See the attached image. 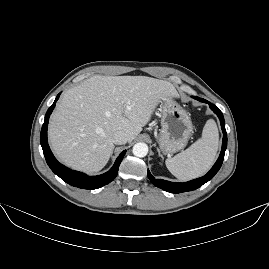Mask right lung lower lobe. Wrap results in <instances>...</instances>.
<instances>
[{"instance_id":"right-lung-lower-lobe-1","label":"right lung lower lobe","mask_w":269,"mask_h":269,"mask_svg":"<svg viewBox=\"0 0 269 269\" xmlns=\"http://www.w3.org/2000/svg\"><path fill=\"white\" fill-rule=\"evenodd\" d=\"M59 96L60 94L57 95L55 102L58 100ZM55 102L46 112L45 120L41 129V135H40L41 146H42L43 153H44L48 166L56 175H58L66 183L72 186L78 187V188H82V189H89V190L97 189L113 181L114 178L118 174V168L126 153V150L121 152L119 157L116 159L115 164L108 172L102 175H98V176H87L84 173L70 170L67 167L61 165L56 160V158L54 157V155L52 154L49 148L48 141H47L48 121L55 107Z\"/></svg>"}]
</instances>
